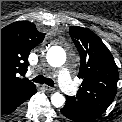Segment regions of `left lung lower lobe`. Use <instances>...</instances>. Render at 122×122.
<instances>
[{
  "label": "left lung lower lobe",
  "instance_id": "0a47b994",
  "mask_svg": "<svg viewBox=\"0 0 122 122\" xmlns=\"http://www.w3.org/2000/svg\"><path fill=\"white\" fill-rule=\"evenodd\" d=\"M60 111L66 118L76 122H91L104 112L70 96H67L66 104Z\"/></svg>",
  "mask_w": 122,
  "mask_h": 122
}]
</instances>
